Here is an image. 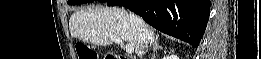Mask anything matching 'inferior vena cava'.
I'll return each mask as SVG.
<instances>
[{"label":"inferior vena cava","instance_id":"inferior-vena-cava-1","mask_svg":"<svg viewBox=\"0 0 261 59\" xmlns=\"http://www.w3.org/2000/svg\"><path fill=\"white\" fill-rule=\"evenodd\" d=\"M129 17L131 27L138 32L140 39L144 43L145 47L148 48L151 39V33L148 30L145 22L140 17L131 12L129 13Z\"/></svg>","mask_w":261,"mask_h":59}]
</instances>
